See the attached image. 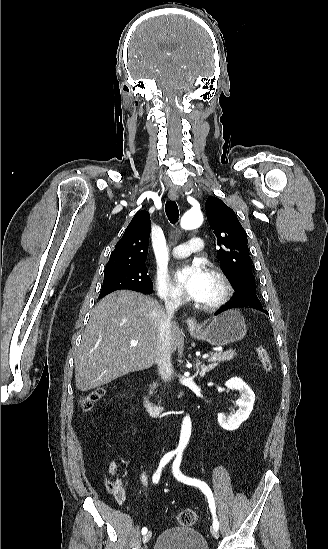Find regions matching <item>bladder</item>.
I'll use <instances>...</instances> for the list:
<instances>
[{
    "label": "bladder",
    "instance_id": "1",
    "mask_svg": "<svg viewBox=\"0 0 328 549\" xmlns=\"http://www.w3.org/2000/svg\"><path fill=\"white\" fill-rule=\"evenodd\" d=\"M155 549H209L205 539L194 528L164 531L156 539Z\"/></svg>",
    "mask_w": 328,
    "mask_h": 549
}]
</instances>
